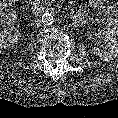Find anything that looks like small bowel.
Wrapping results in <instances>:
<instances>
[{
    "label": "small bowel",
    "instance_id": "obj_1",
    "mask_svg": "<svg viewBox=\"0 0 118 118\" xmlns=\"http://www.w3.org/2000/svg\"><path fill=\"white\" fill-rule=\"evenodd\" d=\"M91 6L94 10L102 11L107 16L114 19L113 27L118 33V8L107 4V0H92Z\"/></svg>",
    "mask_w": 118,
    "mask_h": 118
}]
</instances>
